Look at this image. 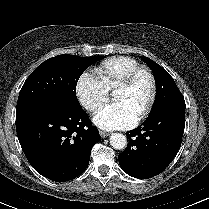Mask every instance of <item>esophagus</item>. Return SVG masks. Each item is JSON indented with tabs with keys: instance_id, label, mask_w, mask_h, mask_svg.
<instances>
[{
	"instance_id": "34e87169",
	"label": "esophagus",
	"mask_w": 209,
	"mask_h": 209,
	"mask_svg": "<svg viewBox=\"0 0 209 209\" xmlns=\"http://www.w3.org/2000/svg\"><path fill=\"white\" fill-rule=\"evenodd\" d=\"M99 134H100V136H101L102 138H106L107 136L110 135V133L105 132V131H100Z\"/></svg>"
}]
</instances>
